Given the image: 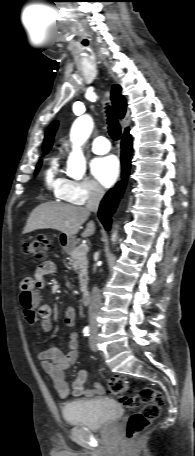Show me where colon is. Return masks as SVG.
<instances>
[{"label": "colon", "mask_w": 195, "mask_h": 456, "mask_svg": "<svg viewBox=\"0 0 195 456\" xmlns=\"http://www.w3.org/2000/svg\"><path fill=\"white\" fill-rule=\"evenodd\" d=\"M51 247V240L47 236H37L23 244L24 253L36 258L46 257ZM110 392L128 408L141 407L132 414L127 422L126 437L128 440H135L160 413L164 403L163 394L154 388L144 387L134 394L130 393L129 381L121 376H114L108 379Z\"/></svg>", "instance_id": "5ec220e1"}]
</instances>
